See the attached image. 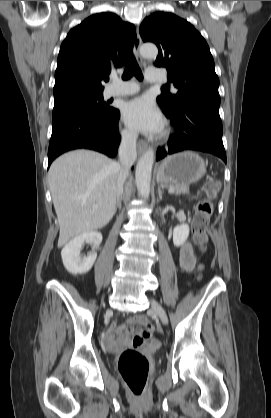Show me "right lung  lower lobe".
<instances>
[{
    "label": "right lung lower lobe",
    "mask_w": 271,
    "mask_h": 418,
    "mask_svg": "<svg viewBox=\"0 0 271 418\" xmlns=\"http://www.w3.org/2000/svg\"><path fill=\"white\" fill-rule=\"evenodd\" d=\"M120 112L100 111L68 116L52 123L48 168L64 152L85 148L114 157L120 143Z\"/></svg>",
    "instance_id": "obj_1"
}]
</instances>
